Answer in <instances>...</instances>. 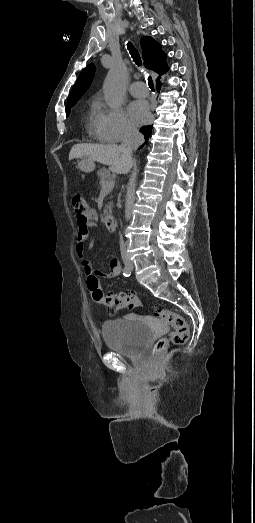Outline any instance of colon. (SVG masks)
<instances>
[{
    "mask_svg": "<svg viewBox=\"0 0 255 523\" xmlns=\"http://www.w3.org/2000/svg\"><path fill=\"white\" fill-rule=\"evenodd\" d=\"M72 207L78 220L83 222L89 211L86 199L80 195L73 196ZM87 285L93 300L103 304L110 312L125 308H137L141 305L140 299L132 293H104L94 275L88 276ZM154 312L162 322L172 327L168 336L160 338L155 343L152 353L157 356L166 349L169 342L173 344L185 343L189 337V327L185 319L177 312L164 309L160 305L154 306Z\"/></svg>",
    "mask_w": 255,
    "mask_h": 523,
    "instance_id": "5ec220e1",
    "label": "colon"
}]
</instances>
